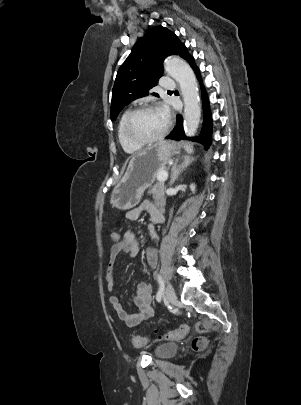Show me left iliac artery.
Returning a JSON list of instances; mask_svg holds the SVG:
<instances>
[{
  "instance_id": "44dca946",
  "label": "left iliac artery",
  "mask_w": 301,
  "mask_h": 405,
  "mask_svg": "<svg viewBox=\"0 0 301 405\" xmlns=\"http://www.w3.org/2000/svg\"><path fill=\"white\" fill-rule=\"evenodd\" d=\"M156 277H157V280H158V283H159V290H158V292L156 294V300L158 302H160L161 298H162V295L164 293V281H163L162 277L159 274H156Z\"/></svg>"
}]
</instances>
